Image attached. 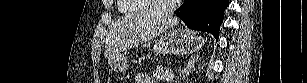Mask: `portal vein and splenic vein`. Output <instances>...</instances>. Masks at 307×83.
Wrapping results in <instances>:
<instances>
[{
	"mask_svg": "<svg viewBox=\"0 0 307 83\" xmlns=\"http://www.w3.org/2000/svg\"><path fill=\"white\" fill-rule=\"evenodd\" d=\"M173 78H174V75L170 73V74H168V75L166 76L165 79H166L167 81H171V80H173Z\"/></svg>",
	"mask_w": 307,
	"mask_h": 83,
	"instance_id": "obj_1",
	"label": "portal vein and splenic vein"
}]
</instances>
